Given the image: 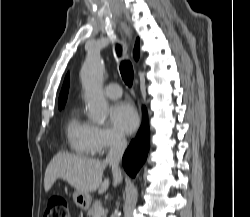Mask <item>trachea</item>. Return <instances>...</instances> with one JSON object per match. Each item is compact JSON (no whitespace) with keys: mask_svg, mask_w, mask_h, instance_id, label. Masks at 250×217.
I'll use <instances>...</instances> for the list:
<instances>
[{"mask_svg":"<svg viewBox=\"0 0 250 217\" xmlns=\"http://www.w3.org/2000/svg\"><path fill=\"white\" fill-rule=\"evenodd\" d=\"M121 46L117 45L116 46V53L118 56H121ZM120 73L121 76L125 82L126 85H128L129 87L132 86L133 84V78H134V72H133V66L131 64L130 61H122L120 64Z\"/></svg>","mask_w":250,"mask_h":217,"instance_id":"trachea-1","label":"trachea"}]
</instances>
